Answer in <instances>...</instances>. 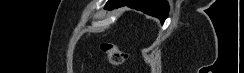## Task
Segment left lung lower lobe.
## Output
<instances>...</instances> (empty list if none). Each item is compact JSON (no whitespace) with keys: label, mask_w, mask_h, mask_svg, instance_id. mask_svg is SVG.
Returning <instances> with one entry per match:
<instances>
[{"label":"left lung lower lobe","mask_w":244,"mask_h":73,"mask_svg":"<svg viewBox=\"0 0 244 73\" xmlns=\"http://www.w3.org/2000/svg\"><path fill=\"white\" fill-rule=\"evenodd\" d=\"M125 5L158 17L162 23L167 18L169 11L168 3L165 0H109L105 9L112 10Z\"/></svg>","instance_id":"0a47b994"}]
</instances>
